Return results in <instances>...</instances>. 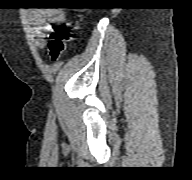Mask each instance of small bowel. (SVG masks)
<instances>
[{
    "label": "small bowel",
    "instance_id": "c3829d8e",
    "mask_svg": "<svg viewBox=\"0 0 192 180\" xmlns=\"http://www.w3.org/2000/svg\"><path fill=\"white\" fill-rule=\"evenodd\" d=\"M65 20V13L58 8H39L28 12V22L34 34L35 44L38 48L46 46L45 31L53 24L62 23Z\"/></svg>",
    "mask_w": 192,
    "mask_h": 180
}]
</instances>
